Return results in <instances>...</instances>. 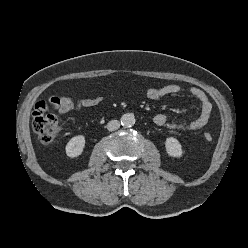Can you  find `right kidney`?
Segmentation results:
<instances>
[{
  "label": "right kidney",
  "mask_w": 248,
  "mask_h": 248,
  "mask_svg": "<svg viewBox=\"0 0 248 248\" xmlns=\"http://www.w3.org/2000/svg\"><path fill=\"white\" fill-rule=\"evenodd\" d=\"M85 147V137L78 135L70 139L66 145V154L68 157L74 158L82 154Z\"/></svg>",
  "instance_id": "ca27d5eb"
}]
</instances>
